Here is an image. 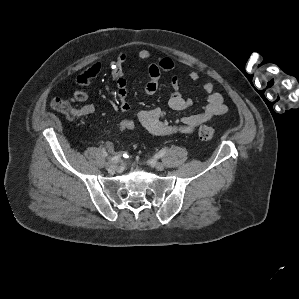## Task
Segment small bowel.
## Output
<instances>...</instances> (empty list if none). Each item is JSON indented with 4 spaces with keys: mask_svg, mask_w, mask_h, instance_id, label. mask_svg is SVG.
I'll use <instances>...</instances> for the list:
<instances>
[{
    "mask_svg": "<svg viewBox=\"0 0 299 299\" xmlns=\"http://www.w3.org/2000/svg\"><path fill=\"white\" fill-rule=\"evenodd\" d=\"M152 54L149 50L143 49L138 52L136 58H129L126 54H120L113 62L110 76L116 84V96L119 109L122 113L129 112L131 107L127 101V82L124 77L123 66L125 64L133 65L137 61H149L147 66L149 81L145 85V92L148 95L156 93L159 87V80L164 72H169L174 68V62L169 57H163L158 60H152ZM100 71V65L94 64L87 69L78 79L81 85H86L90 79L96 77ZM192 81L199 79L196 71H191L188 75ZM173 92L168 99V106L174 111H183L190 108L194 101L186 98L179 90V78L174 75L171 79ZM203 90L207 94V103L203 110L198 113L189 114L181 119L172 122L166 119L164 110L160 108L144 109L135 114L136 121L150 134L154 136H167L172 134H190L200 124L205 123L215 116L223 115L228 108L224 103L223 96L214 91V85L211 82L203 85ZM88 98L86 91L79 89L74 92V99L77 102H85ZM94 106L86 104L81 107V113L88 115L93 113ZM109 151L114 150L112 142L105 143Z\"/></svg>",
    "mask_w": 299,
    "mask_h": 299,
    "instance_id": "1",
    "label": "small bowel"
}]
</instances>
